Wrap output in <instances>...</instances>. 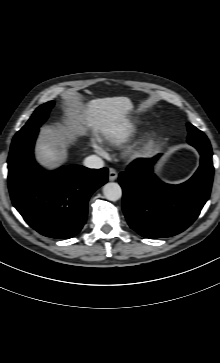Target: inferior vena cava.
I'll use <instances>...</instances> for the list:
<instances>
[{
	"label": "inferior vena cava",
	"instance_id": "602c4592",
	"mask_svg": "<svg viewBox=\"0 0 220 363\" xmlns=\"http://www.w3.org/2000/svg\"><path fill=\"white\" fill-rule=\"evenodd\" d=\"M83 163L84 166L93 169H100L104 166L103 160L96 155H90L86 157Z\"/></svg>",
	"mask_w": 220,
	"mask_h": 363
}]
</instances>
